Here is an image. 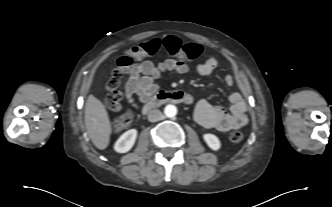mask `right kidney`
I'll list each match as a JSON object with an SVG mask.
<instances>
[{
    "label": "right kidney",
    "mask_w": 332,
    "mask_h": 207,
    "mask_svg": "<svg viewBox=\"0 0 332 207\" xmlns=\"http://www.w3.org/2000/svg\"><path fill=\"white\" fill-rule=\"evenodd\" d=\"M137 138V130L130 129L123 133L114 145V150L118 153L128 152L134 145Z\"/></svg>",
    "instance_id": "right-kidney-1"
}]
</instances>
